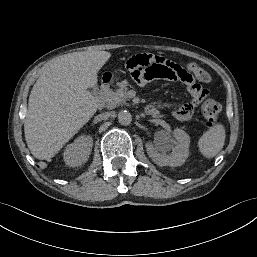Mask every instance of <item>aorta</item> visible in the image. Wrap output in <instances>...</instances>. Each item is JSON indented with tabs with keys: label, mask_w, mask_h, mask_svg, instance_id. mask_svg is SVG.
<instances>
[{
	"label": "aorta",
	"mask_w": 257,
	"mask_h": 257,
	"mask_svg": "<svg viewBox=\"0 0 257 257\" xmlns=\"http://www.w3.org/2000/svg\"><path fill=\"white\" fill-rule=\"evenodd\" d=\"M117 118L121 125H129L132 122V115L127 110L119 111Z\"/></svg>",
	"instance_id": "762f6f07"
}]
</instances>
